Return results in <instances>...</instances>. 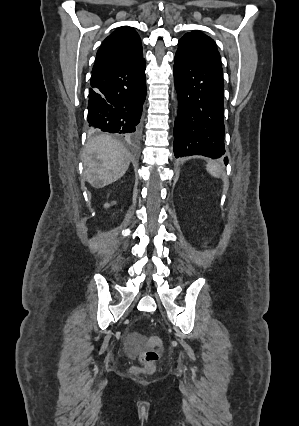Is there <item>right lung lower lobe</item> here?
Wrapping results in <instances>:
<instances>
[{
    "label": "right lung lower lobe",
    "instance_id": "right-lung-lower-lobe-1",
    "mask_svg": "<svg viewBox=\"0 0 299 426\" xmlns=\"http://www.w3.org/2000/svg\"><path fill=\"white\" fill-rule=\"evenodd\" d=\"M146 97L145 60L92 73L88 122L102 131L135 139Z\"/></svg>",
    "mask_w": 299,
    "mask_h": 426
}]
</instances>
